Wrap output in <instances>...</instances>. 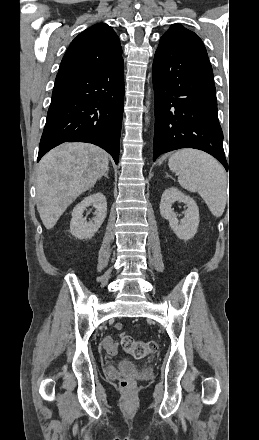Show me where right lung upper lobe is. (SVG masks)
I'll use <instances>...</instances> for the list:
<instances>
[{
	"label": "right lung upper lobe",
	"instance_id": "right-lung-upper-lobe-1",
	"mask_svg": "<svg viewBox=\"0 0 259 440\" xmlns=\"http://www.w3.org/2000/svg\"><path fill=\"white\" fill-rule=\"evenodd\" d=\"M119 37L105 23L80 33L67 49L57 77L88 73L122 59Z\"/></svg>",
	"mask_w": 259,
	"mask_h": 440
}]
</instances>
